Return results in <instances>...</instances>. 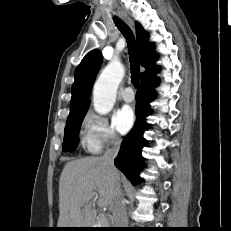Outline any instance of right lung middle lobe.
<instances>
[{
  "mask_svg": "<svg viewBox=\"0 0 231 231\" xmlns=\"http://www.w3.org/2000/svg\"><path fill=\"white\" fill-rule=\"evenodd\" d=\"M86 112L68 116L66 127H65V135L63 140V151H74L78 145V134L80 130L81 123L85 116Z\"/></svg>",
  "mask_w": 231,
  "mask_h": 231,
  "instance_id": "obj_1",
  "label": "right lung middle lobe"
}]
</instances>
